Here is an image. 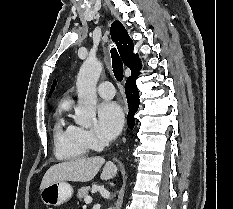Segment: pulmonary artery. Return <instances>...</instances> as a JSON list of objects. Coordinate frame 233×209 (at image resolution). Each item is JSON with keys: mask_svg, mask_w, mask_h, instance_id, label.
<instances>
[{"mask_svg": "<svg viewBox=\"0 0 233 209\" xmlns=\"http://www.w3.org/2000/svg\"><path fill=\"white\" fill-rule=\"evenodd\" d=\"M97 91L101 97L106 99L113 98L115 95V88L109 81L101 82L97 87Z\"/></svg>", "mask_w": 233, "mask_h": 209, "instance_id": "1", "label": "pulmonary artery"}]
</instances>
